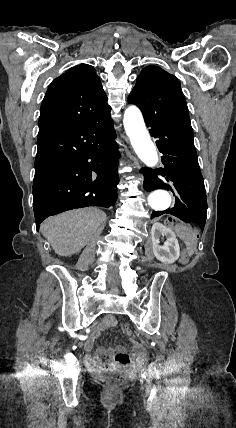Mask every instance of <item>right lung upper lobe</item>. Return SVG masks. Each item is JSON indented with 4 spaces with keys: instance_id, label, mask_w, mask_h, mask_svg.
Wrapping results in <instances>:
<instances>
[{
    "instance_id": "right-lung-upper-lobe-1",
    "label": "right lung upper lobe",
    "mask_w": 236,
    "mask_h": 428,
    "mask_svg": "<svg viewBox=\"0 0 236 428\" xmlns=\"http://www.w3.org/2000/svg\"><path fill=\"white\" fill-rule=\"evenodd\" d=\"M95 69L80 64L57 77L41 105L38 137L80 126L110 113Z\"/></svg>"
}]
</instances>
